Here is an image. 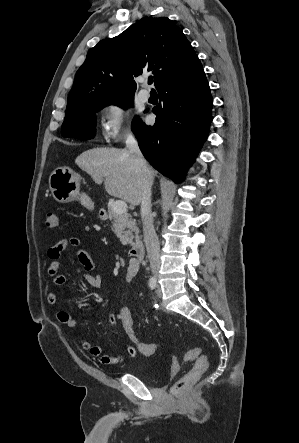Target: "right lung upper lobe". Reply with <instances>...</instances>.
Listing matches in <instances>:
<instances>
[{"instance_id": "cb5924a9", "label": "right lung upper lobe", "mask_w": 299, "mask_h": 443, "mask_svg": "<svg viewBox=\"0 0 299 443\" xmlns=\"http://www.w3.org/2000/svg\"><path fill=\"white\" fill-rule=\"evenodd\" d=\"M202 67L190 42L175 23L147 17L87 54L68 96L67 108L93 100L134 95V77L152 71L155 87Z\"/></svg>"}]
</instances>
